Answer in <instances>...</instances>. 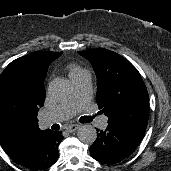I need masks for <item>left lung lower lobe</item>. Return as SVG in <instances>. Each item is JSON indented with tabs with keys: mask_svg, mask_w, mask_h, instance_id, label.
I'll list each match as a JSON object with an SVG mask.
<instances>
[{
	"mask_svg": "<svg viewBox=\"0 0 171 171\" xmlns=\"http://www.w3.org/2000/svg\"><path fill=\"white\" fill-rule=\"evenodd\" d=\"M142 139H138L114 127L100 131L90 147L91 156L106 164H115L133 153Z\"/></svg>",
	"mask_w": 171,
	"mask_h": 171,
	"instance_id": "0a47b994",
	"label": "left lung lower lobe"
}]
</instances>
